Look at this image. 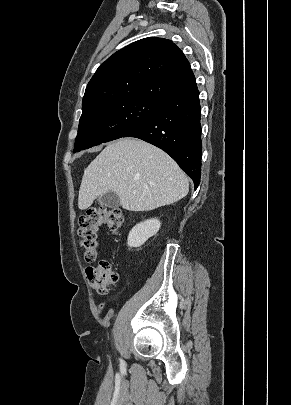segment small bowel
Instances as JSON below:
<instances>
[{
	"instance_id": "c3829d8e",
	"label": "small bowel",
	"mask_w": 291,
	"mask_h": 405,
	"mask_svg": "<svg viewBox=\"0 0 291 405\" xmlns=\"http://www.w3.org/2000/svg\"><path fill=\"white\" fill-rule=\"evenodd\" d=\"M104 308V305L102 304V305H100L99 307H98V312L100 313L101 311H102V309Z\"/></svg>"
}]
</instances>
